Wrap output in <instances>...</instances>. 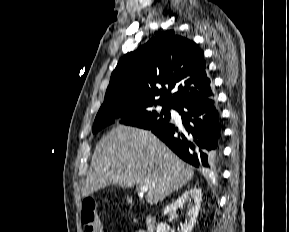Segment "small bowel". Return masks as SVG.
<instances>
[{
  "instance_id": "obj_1",
  "label": "small bowel",
  "mask_w": 289,
  "mask_h": 232,
  "mask_svg": "<svg viewBox=\"0 0 289 232\" xmlns=\"http://www.w3.org/2000/svg\"><path fill=\"white\" fill-rule=\"evenodd\" d=\"M137 232H145L144 229H139Z\"/></svg>"
}]
</instances>
